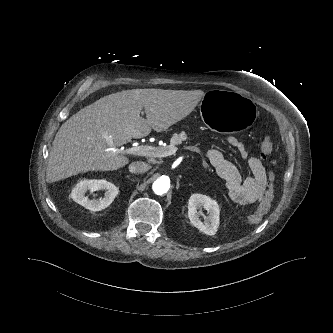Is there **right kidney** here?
Wrapping results in <instances>:
<instances>
[{
    "label": "right kidney",
    "instance_id": "1",
    "mask_svg": "<svg viewBox=\"0 0 333 333\" xmlns=\"http://www.w3.org/2000/svg\"><path fill=\"white\" fill-rule=\"evenodd\" d=\"M105 190L104 198L99 200H89L85 196L87 191ZM119 190L111 182L104 179L101 180H83L79 182L72 190L71 197L78 204L91 211H100L108 207L114 198L117 196Z\"/></svg>",
    "mask_w": 333,
    "mask_h": 333
}]
</instances>
